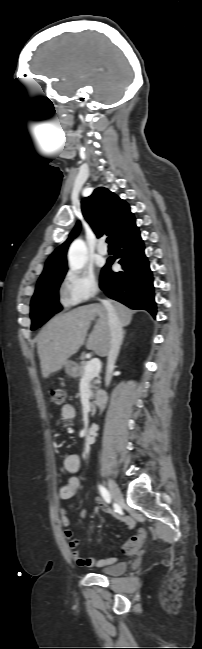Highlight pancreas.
<instances>
[{
  "instance_id": "obj_1",
  "label": "pancreas",
  "mask_w": 202,
  "mask_h": 649,
  "mask_svg": "<svg viewBox=\"0 0 202 649\" xmlns=\"http://www.w3.org/2000/svg\"><path fill=\"white\" fill-rule=\"evenodd\" d=\"M86 365H87V362L83 361V362H81V364L79 366H77L76 377H79L80 379L83 378L84 370H85ZM100 379H101L100 376L97 375L95 378L90 380V389H97V385L101 383ZM95 393H96V391H92V395H94ZM94 403H95V401L91 402L92 407L94 406Z\"/></svg>"
}]
</instances>
